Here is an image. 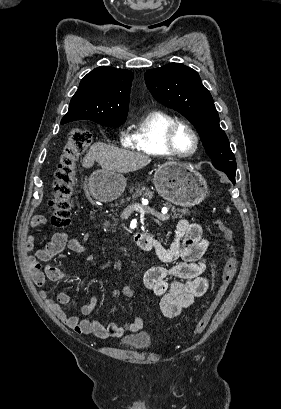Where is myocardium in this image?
<instances>
[{
    "label": "myocardium",
    "instance_id": "myocardium-1",
    "mask_svg": "<svg viewBox=\"0 0 281 409\" xmlns=\"http://www.w3.org/2000/svg\"><path fill=\"white\" fill-rule=\"evenodd\" d=\"M185 129L187 130L193 140V149L189 152V153H184L182 151L179 150L178 146H177V135L179 133L180 130ZM166 147L168 149V151L175 157L178 158H189L191 156H193L199 147V137L197 132L195 131V129L186 121L184 120H177L175 122H173L168 130H167V134H166Z\"/></svg>",
    "mask_w": 281,
    "mask_h": 409
}]
</instances>
